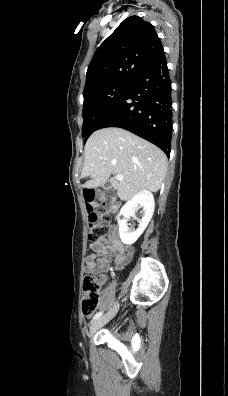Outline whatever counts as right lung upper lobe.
Masks as SVG:
<instances>
[{
    "instance_id": "1",
    "label": "right lung upper lobe",
    "mask_w": 228,
    "mask_h": 396,
    "mask_svg": "<svg viewBox=\"0 0 228 396\" xmlns=\"http://www.w3.org/2000/svg\"><path fill=\"white\" fill-rule=\"evenodd\" d=\"M162 48L152 24L128 17L96 50L83 94L112 83H131Z\"/></svg>"
}]
</instances>
